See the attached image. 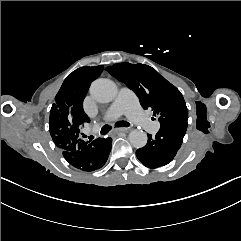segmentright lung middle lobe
Instances as JSON below:
<instances>
[{"label":"right lung middle lobe","mask_w":241,"mask_h":241,"mask_svg":"<svg viewBox=\"0 0 241 241\" xmlns=\"http://www.w3.org/2000/svg\"><path fill=\"white\" fill-rule=\"evenodd\" d=\"M75 75L81 80H95L99 75L96 73L94 67L84 66L73 71Z\"/></svg>","instance_id":"obj_1"}]
</instances>
